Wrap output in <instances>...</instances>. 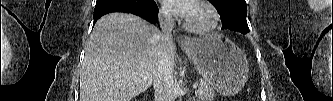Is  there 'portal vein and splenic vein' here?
Wrapping results in <instances>:
<instances>
[{
    "label": "portal vein and splenic vein",
    "instance_id": "obj_1",
    "mask_svg": "<svg viewBox=\"0 0 333 101\" xmlns=\"http://www.w3.org/2000/svg\"><path fill=\"white\" fill-rule=\"evenodd\" d=\"M197 87H198V84L195 83V84L193 85V88L196 89Z\"/></svg>",
    "mask_w": 333,
    "mask_h": 101
}]
</instances>
